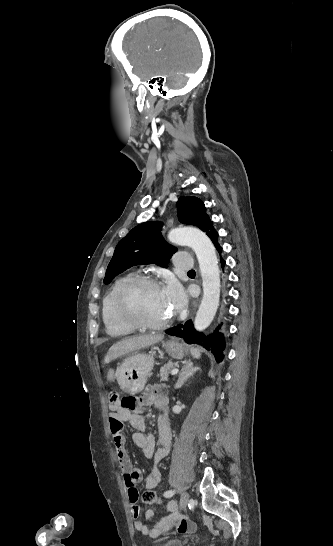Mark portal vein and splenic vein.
<instances>
[{
    "mask_svg": "<svg viewBox=\"0 0 333 546\" xmlns=\"http://www.w3.org/2000/svg\"><path fill=\"white\" fill-rule=\"evenodd\" d=\"M178 372H179V369L174 368V369L171 371V375H176Z\"/></svg>",
    "mask_w": 333,
    "mask_h": 546,
    "instance_id": "18ae733b",
    "label": "portal vein and splenic vein"
}]
</instances>
